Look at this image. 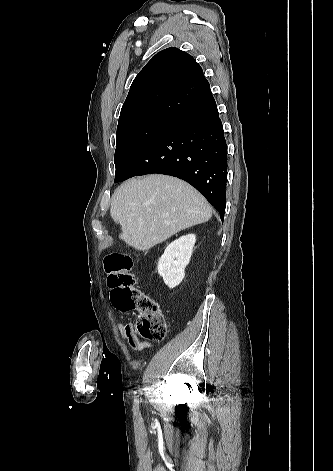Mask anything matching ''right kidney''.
<instances>
[{
	"instance_id": "ca27d5eb",
	"label": "right kidney",
	"mask_w": 333,
	"mask_h": 471,
	"mask_svg": "<svg viewBox=\"0 0 333 471\" xmlns=\"http://www.w3.org/2000/svg\"><path fill=\"white\" fill-rule=\"evenodd\" d=\"M195 242L194 234L184 235L169 244L160 257L158 273L169 288H174L182 282Z\"/></svg>"
}]
</instances>
